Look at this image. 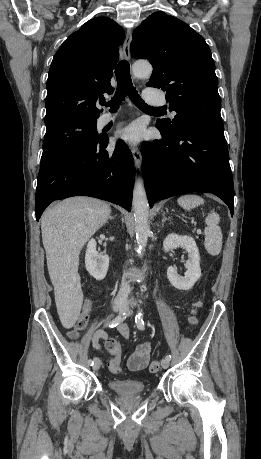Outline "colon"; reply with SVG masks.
Returning <instances> with one entry per match:
<instances>
[{"mask_svg": "<svg viewBox=\"0 0 261 459\" xmlns=\"http://www.w3.org/2000/svg\"><path fill=\"white\" fill-rule=\"evenodd\" d=\"M203 306V302L198 300L192 304V308L189 316L187 317V323L189 326H195L198 323L197 311ZM88 316L80 315L75 328L77 330H82L87 326ZM105 347L107 351L113 356V358L108 363V368L112 373H119L121 370V344L118 340L110 338L106 341ZM160 369V363L157 360H154L149 365V370L152 373L158 372Z\"/></svg>", "mask_w": 261, "mask_h": 459, "instance_id": "5ec220e1", "label": "colon"}]
</instances>
